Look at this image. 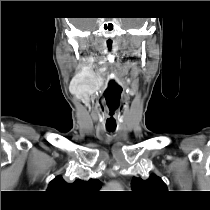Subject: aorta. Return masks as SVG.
Segmentation results:
<instances>
[{"label":"aorta","mask_w":210,"mask_h":210,"mask_svg":"<svg viewBox=\"0 0 210 210\" xmlns=\"http://www.w3.org/2000/svg\"><path fill=\"white\" fill-rule=\"evenodd\" d=\"M111 188L117 189L119 186L117 184L110 185Z\"/></svg>","instance_id":"762f6f07"}]
</instances>
